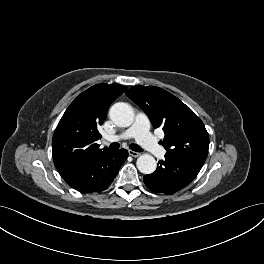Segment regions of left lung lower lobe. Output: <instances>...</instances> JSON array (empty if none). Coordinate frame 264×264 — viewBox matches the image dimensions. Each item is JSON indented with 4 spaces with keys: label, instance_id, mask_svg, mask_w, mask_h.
Here are the masks:
<instances>
[{
    "label": "left lung lower lobe",
    "instance_id": "obj_1",
    "mask_svg": "<svg viewBox=\"0 0 264 264\" xmlns=\"http://www.w3.org/2000/svg\"><path fill=\"white\" fill-rule=\"evenodd\" d=\"M201 168L193 160L166 153L155 172L144 176V182L153 192L172 194L191 183Z\"/></svg>",
    "mask_w": 264,
    "mask_h": 264
}]
</instances>
